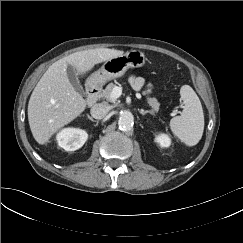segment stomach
Instances as JSON below:
<instances>
[{
    "mask_svg": "<svg viewBox=\"0 0 243 243\" xmlns=\"http://www.w3.org/2000/svg\"><path fill=\"white\" fill-rule=\"evenodd\" d=\"M146 63L145 54L140 50H131L121 56L108 59L102 67L88 79L93 85H104L106 82L121 77L129 68L142 67Z\"/></svg>",
    "mask_w": 243,
    "mask_h": 243,
    "instance_id": "stomach-1",
    "label": "stomach"
}]
</instances>
